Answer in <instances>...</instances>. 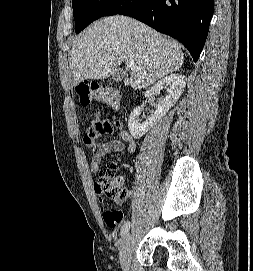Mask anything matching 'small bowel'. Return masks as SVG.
<instances>
[{
	"mask_svg": "<svg viewBox=\"0 0 253 271\" xmlns=\"http://www.w3.org/2000/svg\"><path fill=\"white\" fill-rule=\"evenodd\" d=\"M115 130L119 131V140H112L106 143L99 142V139L103 135L111 134ZM83 141L86 147L93 152L90 161L92 172L98 171L104 156L122 151L125 148L124 143L127 144V153L132 154L136 149L133 136L124 128V123L120 120L109 121L100 118L93 119L90 122Z\"/></svg>",
	"mask_w": 253,
	"mask_h": 271,
	"instance_id": "1",
	"label": "small bowel"
}]
</instances>
